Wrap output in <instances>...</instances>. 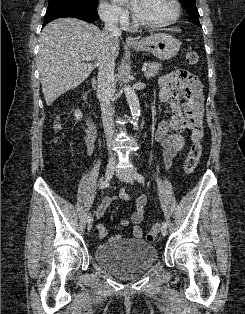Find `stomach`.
Masks as SVG:
<instances>
[{
  "label": "stomach",
  "instance_id": "obj_1",
  "mask_svg": "<svg viewBox=\"0 0 245 314\" xmlns=\"http://www.w3.org/2000/svg\"><path fill=\"white\" fill-rule=\"evenodd\" d=\"M130 47L137 51H148L161 60L175 57L180 49L179 41L166 33L151 34Z\"/></svg>",
  "mask_w": 245,
  "mask_h": 314
}]
</instances>
